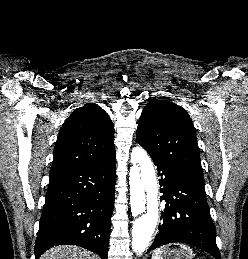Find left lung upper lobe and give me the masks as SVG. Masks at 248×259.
Segmentation results:
<instances>
[{"label": "left lung upper lobe", "instance_id": "left-lung-upper-lobe-1", "mask_svg": "<svg viewBox=\"0 0 248 259\" xmlns=\"http://www.w3.org/2000/svg\"><path fill=\"white\" fill-rule=\"evenodd\" d=\"M136 140L191 184L205 186L195 128L181 106L150 101L141 114Z\"/></svg>", "mask_w": 248, "mask_h": 259}]
</instances>
